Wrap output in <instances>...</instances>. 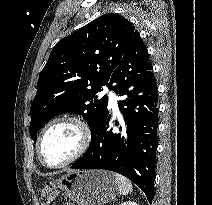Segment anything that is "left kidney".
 I'll list each match as a JSON object with an SVG mask.
<instances>
[{
	"label": "left kidney",
	"instance_id": "obj_1",
	"mask_svg": "<svg viewBox=\"0 0 212 205\" xmlns=\"http://www.w3.org/2000/svg\"><path fill=\"white\" fill-rule=\"evenodd\" d=\"M120 205H137L135 202H132V201H127V202H124Z\"/></svg>",
	"mask_w": 212,
	"mask_h": 205
}]
</instances>
